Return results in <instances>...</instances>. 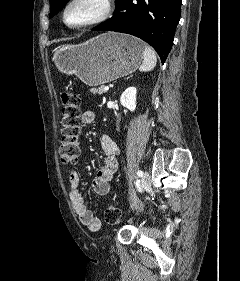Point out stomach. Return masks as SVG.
Wrapping results in <instances>:
<instances>
[{"mask_svg": "<svg viewBox=\"0 0 240 281\" xmlns=\"http://www.w3.org/2000/svg\"><path fill=\"white\" fill-rule=\"evenodd\" d=\"M144 48L138 38L106 33L81 44L59 47L52 60L62 73L96 86L134 72L141 64Z\"/></svg>", "mask_w": 240, "mask_h": 281, "instance_id": "stomach-1", "label": "stomach"}]
</instances>
